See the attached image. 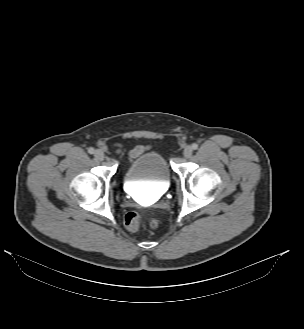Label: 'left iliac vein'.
I'll list each match as a JSON object with an SVG mask.
<instances>
[{"label":"left iliac vein","mask_w":304,"mask_h":329,"mask_svg":"<svg viewBox=\"0 0 304 329\" xmlns=\"http://www.w3.org/2000/svg\"><path fill=\"white\" fill-rule=\"evenodd\" d=\"M193 153V150H192V147L190 146H187L184 151H183V154L186 158H189Z\"/></svg>","instance_id":"left-iliac-vein-1"}]
</instances>
